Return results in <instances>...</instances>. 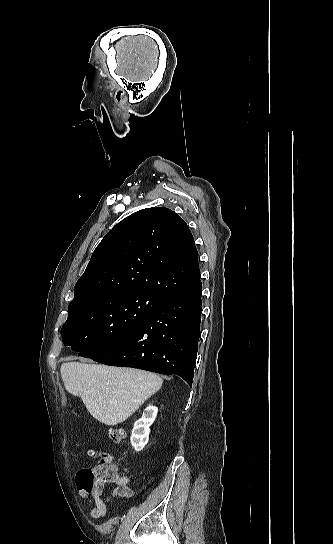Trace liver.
Here are the masks:
<instances>
[{
    "mask_svg": "<svg viewBox=\"0 0 333 544\" xmlns=\"http://www.w3.org/2000/svg\"><path fill=\"white\" fill-rule=\"evenodd\" d=\"M60 372L65 389L108 426L124 422L162 386L157 374L133 368L68 362Z\"/></svg>",
    "mask_w": 333,
    "mask_h": 544,
    "instance_id": "liver-1",
    "label": "liver"
}]
</instances>
